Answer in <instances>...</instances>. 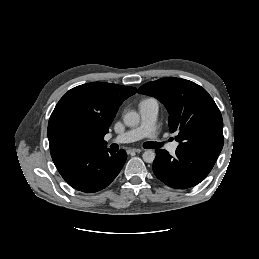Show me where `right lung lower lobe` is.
<instances>
[{
	"label": "right lung lower lobe",
	"instance_id": "98d812e1",
	"mask_svg": "<svg viewBox=\"0 0 259 259\" xmlns=\"http://www.w3.org/2000/svg\"><path fill=\"white\" fill-rule=\"evenodd\" d=\"M126 158L127 154L122 149L115 153L104 148L52 159L63 179L71 187L93 193L104 189L115 179Z\"/></svg>",
	"mask_w": 259,
	"mask_h": 259
}]
</instances>
